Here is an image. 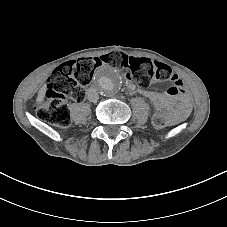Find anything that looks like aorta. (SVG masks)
I'll return each mask as SVG.
<instances>
[{
    "label": "aorta",
    "mask_w": 227,
    "mask_h": 227,
    "mask_svg": "<svg viewBox=\"0 0 227 227\" xmlns=\"http://www.w3.org/2000/svg\"><path fill=\"white\" fill-rule=\"evenodd\" d=\"M122 80L114 68L102 67L94 75V85L104 96H112L121 88Z\"/></svg>",
    "instance_id": "obj_1"
}]
</instances>
